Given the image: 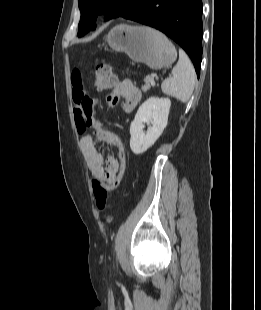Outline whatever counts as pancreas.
Wrapping results in <instances>:
<instances>
[{"label":"pancreas","mask_w":261,"mask_h":310,"mask_svg":"<svg viewBox=\"0 0 261 310\" xmlns=\"http://www.w3.org/2000/svg\"><path fill=\"white\" fill-rule=\"evenodd\" d=\"M145 85L141 87L143 92H146L150 89V84L152 85L153 77L148 75L144 78Z\"/></svg>","instance_id":"obj_1"}]
</instances>
